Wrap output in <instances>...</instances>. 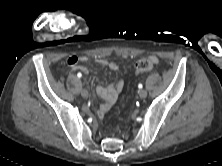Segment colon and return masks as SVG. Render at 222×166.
<instances>
[{"instance_id": "obj_1", "label": "colon", "mask_w": 222, "mask_h": 166, "mask_svg": "<svg viewBox=\"0 0 222 166\" xmlns=\"http://www.w3.org/2000/svg\"><path fill=\"white\" fill-rule=\"evenodd\" d=\"M154 63L155 62L150 57L138 60L135 64V73L141 74L151 71Z\"/></svg>"}]
</instances>
